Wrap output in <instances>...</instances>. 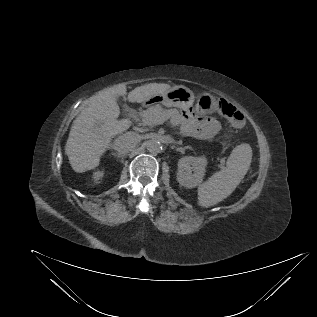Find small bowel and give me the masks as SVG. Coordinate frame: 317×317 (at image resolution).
I'll return each mask as SVG.
<instances>
[{"mask_svg": "<svg viewBox=\"0 0 317 317\" xmlns=\"http://www.w3.org/2000/svg\"><path fill=\"white\" fill-rule=\"evenodd\" d=\"M174 124L180 126L181 132L188 137L208 139L215 136L220 130V123L210 115H203L195 119L182 114L173 118Z\"/></svg>", "mask_w": 317, "mask_h": 317, "instance_id": "c3829d8e", "label": "small bowel"}]
</instances>
